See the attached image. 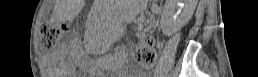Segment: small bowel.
<instances>
[{
	"instance_id": "1",
	"label": "small bowel",
	"mask_w": 258,
	"mask_h": 77,
	"mask_svg": "<svg viewBox=\"0 0 258 77\" xmlns=\"http://www.w3.org/2000/svg\"><path fill=\"white\" fill-rule=\"evenodd\" d=\"M158 45L160 46V45H161V43H160V42H158Z\"/></svg>"
}]
</instances>
